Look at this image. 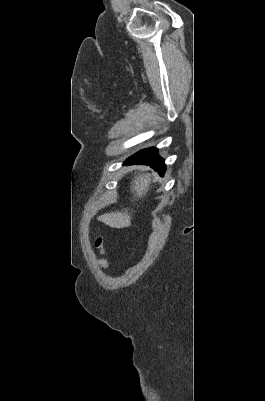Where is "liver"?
Masks as SVG:
<instances>
[{
  "label": "liver",
  "instance_id": "obj_1",
  "mask_svg": "<svg viewBox=\"0 0 265 401\" xmlns=\"http://www.w3.org/2000/svg\"><path fill=\"white\" fill-rule=\"evenodd\" d=\"M131 168H140V170H149V166H131ZM155 172H135V176L130 184L131 192H133L134 196H136L135 201H138V198H143L146 196L150 182H152V176ZM130 213L126 211V209H122V211H115V213H106V215H101L98 217V221L101 223H105V225H109V227H114V229H124V227H130L131 225Z\"/></svg>",
  "mask_w": 265,
  "mask_h": 401
}]
</instances>
